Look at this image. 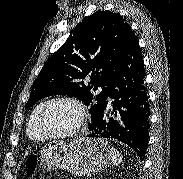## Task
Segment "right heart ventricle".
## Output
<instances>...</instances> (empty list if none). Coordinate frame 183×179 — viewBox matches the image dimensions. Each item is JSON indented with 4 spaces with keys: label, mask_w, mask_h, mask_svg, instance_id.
<instances>
[{
    "label": "right heart ventricle",
    "mask_w": 183,
    "mask_h": 179,
    "mask_svg": "<svg viewBox=\"0 0 183 179\" xmlns=\"http://www.w3.org/2000/svg\"><path fill=\"white\" fill-rule=\"evenodd\" d=\"M44 102L39 103L34 110L31 113L29 122H28V126H27V134L29 136L30 139L34 140V141H39L42 140L44 137L39 133L38 129H37V116L38 113L41 109V107L43 106Z\"/></svg>",
    "instance_id": "right-heart-ventricle-1"
}]
</instances>
